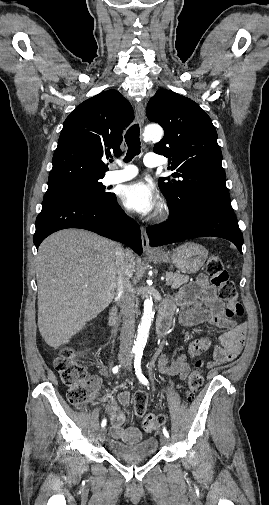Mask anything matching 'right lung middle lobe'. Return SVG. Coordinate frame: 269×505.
<instances>
[{
	"label": "right lung middle lobe",
	"instance_id": "1",
	"mask_svg": "<svg viewBox=\"0 0 269 505\" xmlns=\"http://www.w3.org/2000/svg\"><path fill=\"white\" fill-rule=\"evenodd\" d=\"M99 179L87 180L63 187L48 189L43 200L69 195L81 196L97 203L106 202L110 200L114 194L107 192L105 190V186L99 182Z\"/></svg>",
	"mask_w": 269,
	"mask_h": 505
}]
</instances>
